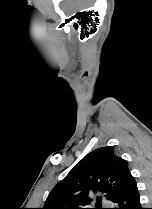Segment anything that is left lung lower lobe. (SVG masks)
<instances>
[{
  "label": "left lung lower lobe",
  "mask_w": 152,
  "mask_h": 209,
  "mask_svg": "<svg viewBox=\"0 0 152 209\" xmlns=\"http://www.w3.org/2000/svg\"><path fill=\"white\" fill-rule=\"evenodd\" d=\"M112 202L115 204L113 209H142L137 184L132 175Z\"/></svg>",
  "instance_id": "1"
}]
</instances>
